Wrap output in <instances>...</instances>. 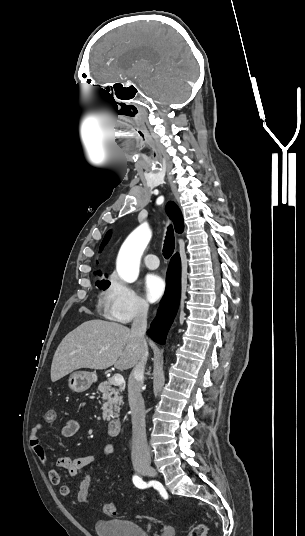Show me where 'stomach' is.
Wrapping results in <instances>:
<instances>
[{
  "label": "stomach",
  "mask_w": 305,
  "mask_h": 536,
  "mask_svg": "<svg viewBox=\"0 0 305 536\" xmlns=\"http://www.w3.org/2000/svg\"><path fill=\"white\" fill-rule=\"evenodd\" d=\"M96 380L92 372H73L68 380V386L73 392H85Z\"/></svg>",
  "instance_id": "obj_1"
}]
</instances>
